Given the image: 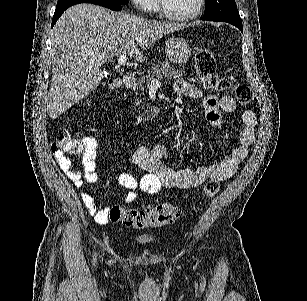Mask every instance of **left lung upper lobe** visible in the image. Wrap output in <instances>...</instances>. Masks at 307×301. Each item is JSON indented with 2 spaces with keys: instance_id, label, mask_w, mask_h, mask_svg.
<instances>
[{
  "instance_id": "1",
  "label": "left lung upper lobe",
  "mask_w": 307,
  "mask_h": 301,
  "mask_svg": "<svg viewBox=\"0 0 307 301\" xmlns=\"http://www.w3.org/2000/svg\"><path fill=\"white\" fill-rule=\"evenodd\" d=\"M203 20L242 23L235 0H206V15Z\"/></svg>"
}]
</instances>
